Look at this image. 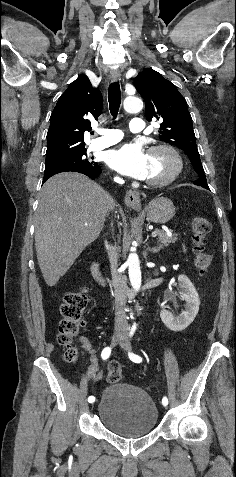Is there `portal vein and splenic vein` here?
<instances>
[{"label": "portal vein and splenic vein", "mask_w": 236, "mask_h": 477, "mask_svg": "<svg viewBox=\"0 0 236 477\" xmlns=\"http://www.w3.org/2000/svg\"><path fill=\"white\" fill-rule=\"evenodd\" d=\"M151 235H152L153 238H155L158 235V233H157V231H153Z\"/></svg>", "instance_id": "portal-vein-and-splenic-vein-1"}]
</instances>
